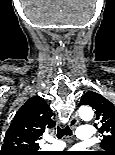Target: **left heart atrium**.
<instances>
[{
	"mask_svg": "<svg viewBox=\"0 0 115 155\" xmlns=\"http://www.w3.org/2000/svg\"><path fill=\"white\" fill-rule=\"evenodd\" d=\"M65 155H81V154H78L77 151H72V152L65 154Z\"/></svg>",
	"mask_w": 115,
	"mask_h": 155,
	"instance_id": "1",
	"label": "left heart atrium"
}]
</instances>
